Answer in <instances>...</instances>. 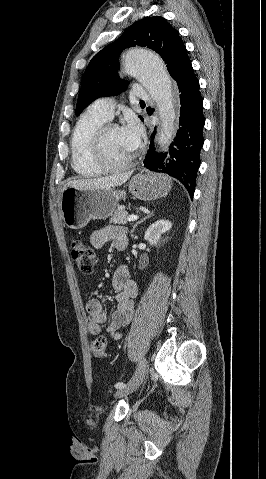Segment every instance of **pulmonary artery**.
Returning a JSON list of instances; mask_svg holds the SVG:
<instances>
[{
  "label": "pulmonary artery",
  "instance_id": "e3ab8cb5",
  "mask_svg": "<svg viewBox=\"0 0 266 479\" xmlns=\"http://www.w3.org/2000/svg\"><path fill=\"white\" fill-rule=\"evenodd\" d=\"M134 94L136 98L150 101L152 100L151 93L145 88L138 85L134 86ZM115 107V100L112 97H103L97 99L89 109L97 115L103 117L106 120H110L113 117V111Z\"/></svg>",
  "mask_w": 266,
  "mask_h": 479
}]
</instances>
